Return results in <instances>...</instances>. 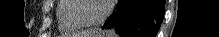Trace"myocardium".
Here are the masks:
<instances>
[{"label":"myocardium","mask_w":219,"mask_h":37,"mask_svg":"<svg viewBox=\"0 0 219 37\" xmlns=\"http://www.w3.org/2000/svg\"><path fill=\"white\" fill-rule=\"evenodd\" d=\"M84 0H72L73 2V7L71 10V17L73 18L74 21H76L78 24H80L82 27H97L104 23L112 10V5L111 1H104L105 3V10L103 14L96 20H86L80 16V9H81V2Z\"/></svg>","instance_id":"1"}]
</instances>
